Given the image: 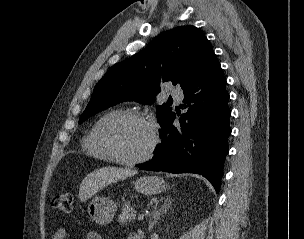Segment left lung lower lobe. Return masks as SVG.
Wrapping results in <instances>:
<instances>
[{
  "mask_svg": "<svg viewBox=\"0 0 304 239\" xmlns=\"http://www.w3.org/2000/svg\"><path fill=\"white\" fill-rule=\"evenodd\" d=\"M228 100L226 79L213 54L193 84L184 90L181 107L187 112L180 115V125H173L176 114L172 112L161 125L162 142L154 157L137 167L201 174L219 192L231 134Z\"/></svg>",
  "mask_w": 304,
  "mask_h": 239,
  "instance_id": "left-lung-lower-lobe-1",
  "label": "left lung lower lobe"
}]
</instances>
